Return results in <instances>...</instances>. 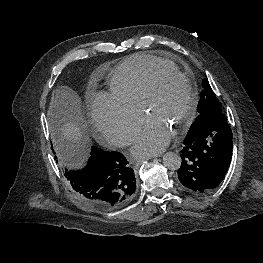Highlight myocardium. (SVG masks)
<instances>
[{"mask_svg": "<svg viewBox=\"0 0 263 263\" xmlns=\"http://www.w3.org/2000/svg\"><path fill=\"white\" fill-rule=\"evenodd\" d=\"M165 75H169V76H174L177 78L182 79L186 86H187V91H188V104L187 107L185 109V112L181 115V117L179 118L177 124H176V128L174 133L178 134L179 132H181L189 123L190 121L193 119L197 106H198V94L197 91L191 81V79L184 73H182L181 71H179L176 68H170V67H158L156 68L144 91L142 100H141V104H140V108L142 109V111L144 112V114L148 113V108L149 105L155 95V91H156V87H157V83L158 81L161 79V77L165 76Z\"/></svg>", "mask_w": 263, "mask_h": 263, "instance_id": "f54148a6", "label": "myocardium"}]
</instances>
